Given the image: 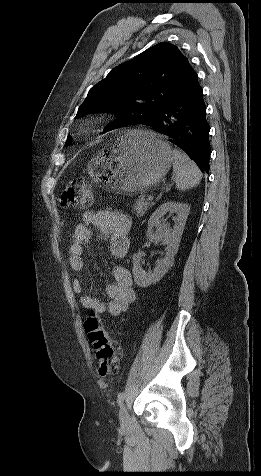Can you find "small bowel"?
<instances>
[{
    "label": "small bowel",
    "instance_id": "small-bowel-1",
    "mask_svg": "<svg viewBox=\"0 0 261 476\" xmlns=\"http://www.w3.org/2000/svg\"><path fill=\"white\" fill-rule=\"evenodd\" d=\"M83 218L84 222L74 228L68 247V263L73 271L81 272L84 269V246L93 239L95 233L108 238L110 259L120 260L125 257L131 228V220L126 214L110 210L89 211L84 213ZM112 275L114 282L106 288L109 296L107 302L83 294V282L80 279L73 281V291L81 294L80 302L84 308L96 314L108 312L112 316H118L128 309L135 300L132 275L127 268L118 264L113 266Z\"/></svg>",
    "mask_w": 261,
    "mask_h": 476
}]
</instances>
